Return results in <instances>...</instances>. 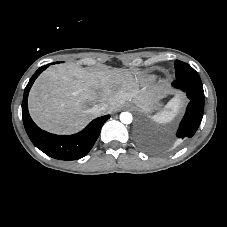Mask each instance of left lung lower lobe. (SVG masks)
Instances as JSON below:
<instances>
[{"label": "left lung lower lobe", "mask_w": 227, "mask_h": 227, "mask_svg": "<svg viewBox=\"0 0 227 227\" xmlns=\"http://www.w3.org/2000/svg\"><path fill=\"white\" fill-rule=\"evenodd\" d=\"M172 85L185 92L190 100L185 116L177 131V137L180 139L191 138L198 129L203 116L204 94L202 82L189 79H176Z\"/></svg>", "instance_id": "0a47b994"}]
</instances>
